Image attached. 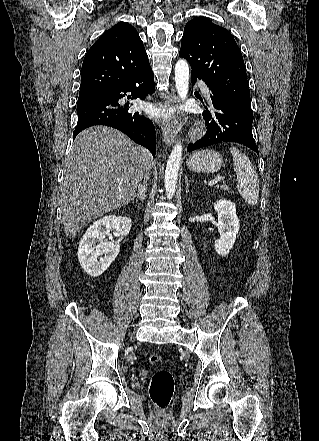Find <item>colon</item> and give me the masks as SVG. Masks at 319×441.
I'll return each mask as SVG.
<instances>
[{"mask_svg": "<svg viewBox=\"0 0 319 441\" xmlns=\"http://www.w3.org/2000/svg\"><path fill=\"white\" fill-rule=\"evenodd\" d=\"M148 362L157 365L162 361V357L158 354H150ZM174 392V377L172 373L166 369L157 370L150 380L149 394L160 414H164L171 401Z\"/></svg>", "mask_w": 319, "mask_h": 441, "instance_id": "5ec220e1", "label": "colon"}]
</instances>
